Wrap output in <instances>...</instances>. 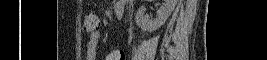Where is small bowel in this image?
Listing matches in <instances>:
<instances>
[{
    "label": "small bowel",
    "mask_w": 267,
    "mask_h": 60,
    "mask_svg": "<svg viewBox=\"0 0 267 60\" xmlns=\"http://www.w3.org/2000/svg\"><path fill=\"white\" fill-rule=\"evenodd\" d=\"M124 6L123 2H118L116 7ZM100 32H93L89 35V39L86 46V58L87 60H95L97 56V48L100 42ZM125 54L122 50H114L108 54L106 60H125Z\"/></svg>",
    "instance_id": "small-bowel-1"
}]
</instances>
